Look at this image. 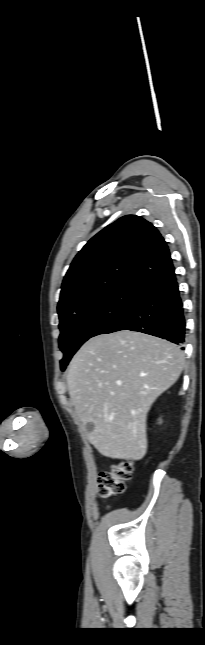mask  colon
<instances>
[{"label":"colon","mask_w":205,"mask_h":645,"mask_svg":"<svg viewBox=\"0 0 205 645\" xmlns=\"http://www.w3.org/2000/svg\"><path fill=\"white\" fill-rule=\"evenodd\" d=\"M134 464L131 460H121L109 470L103 471L99 477V491L104 498L122 494L126 488V481L131 478Z\"/></svg>","instance_id":"1"}]
</instances>
